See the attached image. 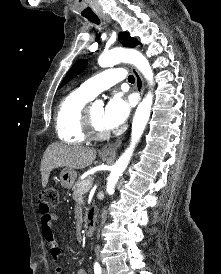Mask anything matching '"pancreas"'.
Returning a JSON list of instances; mask_svg holds the SVG:
<instances>
[{
    "label": "pancreas",
    "mask_w": 221,
    "mask_h": 274,
    "mask_svg": "<svg viewBox=\"0 0 221 274\" xmlns=\"http://www.w3.org/2000/svg\"><path fill=\"white\" fill-rule=\"evenodd\" d=\"M90 179L82 180V181H77L74 186H73V199L80 204H83V198L86 192L82 191V188L85 186V184L89 181Z\"/></svg>",
    "instance_id": "pancreas-1"
}]
</instances>
